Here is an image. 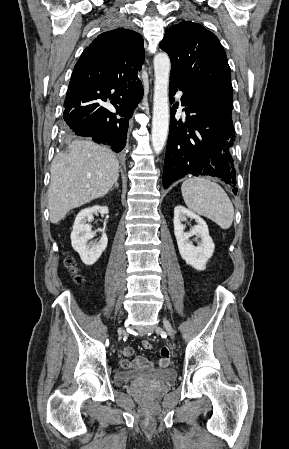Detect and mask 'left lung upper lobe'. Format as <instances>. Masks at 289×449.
<instances>
[{
    "instance_id": "5c2ea615",
    "label": "left lung upper lobe",
    "mask_w": 289,
    "mask_h": 449,
    "mask_svg": "<svg viewBox=\"0 0 289 449\" xmlns=\"http://www.w3.org/2000/svg\"><path fill=\"white\" fill-rule=\"evenodd\" d=\"M160 48L171 60L170 79L191 84L211 106L232 113L230 67L212 32L201 24L182 21L166 30Z\"/></svg>"
}]
</instances>
